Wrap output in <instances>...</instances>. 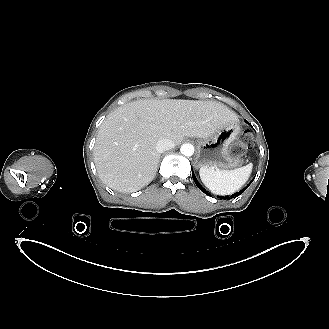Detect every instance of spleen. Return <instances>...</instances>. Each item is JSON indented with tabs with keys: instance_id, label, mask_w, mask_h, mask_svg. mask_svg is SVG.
Returning a JSON list of instances; mask_svg holds the SVG:
<instances>
[{
	"instance_id": "obj_1",
	"label": "spleen",
	"mask_w": 329,
	"mask_h": 329,
	"mask_svg": "<svg viewBox=\"0 0 329 329\" xmlns=\"http://www.w3.org/2000/svg\"><path fill=\"white\" fill-rule=\"evenodd\" d=\"M252 168V163L233 170L201 168L199 174L203 184L211 192L217 195H227L238 191L247 182Z\"/></svg>"
}]
</instances>
